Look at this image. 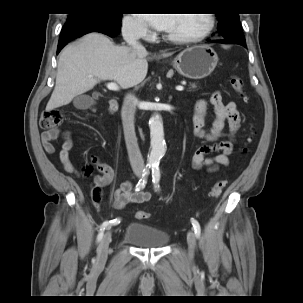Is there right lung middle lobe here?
Listing matches in <instances>:
<instances>
[{"mask_svg":"<svg viewBox=\"0 0 303 303\" xmlns=\"http://www.w3.org/2000/svg\"><path fill=\"white\" fill-rule=\"evenodd\" d=\"M77 16L97 17V18H102V19H107V20H116V21H120V22L122 19V14H120V13H104V12H92V11L71 14L69 19H71L73 17H77Z\"/></svg>","mask_w":303,"mask_h":303,"instance_id":"right-lung-middle-lobe-1","label":"right lung middle lobe"}]
</instances>
